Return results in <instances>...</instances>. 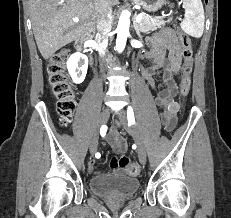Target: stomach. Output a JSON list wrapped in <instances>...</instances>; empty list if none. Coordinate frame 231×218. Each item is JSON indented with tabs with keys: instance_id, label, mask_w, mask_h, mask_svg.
<instances>
[{
	"instance_id": "0dacf381",
	"label": "stomach",
	"mask_w": 231,
	"mask_h": 218,
	"mask_svg": "<svg viewBox=\"0 0 231 218\" xmlns=\"http://www.w3.org/2000/svg\"><path fill=\"white\" fill-rule=\"evenodd\" d=\"M149 13L157 12L166 3V0H132Z\"/></svg>"
}]
</instances>
